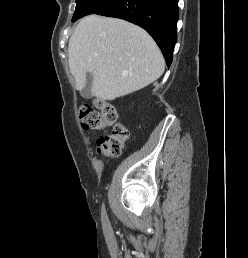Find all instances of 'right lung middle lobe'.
Listing matches in <instances>:
<instances>
[{"mask_svg":"<svg viewBox=\"0 0 248 258\" xmlns=\"http://www.w3.org/2000/svg\"><path fill=\"white\" fill-rule=\"evenodd\" d=\"M114 0H76V9L72 18L75 21L85 15L96 13Z\"/></svg>","mask_w":248,"mask_h":258,"instance_id":"right-lung-middle-lobe-1","label":"right lung middle lobe"}]
</instances>
